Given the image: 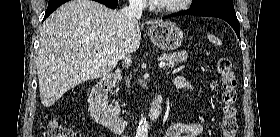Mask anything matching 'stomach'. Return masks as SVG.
I'll return each mask as SVG.
<instances>
[{
    "label": "stomach",
    "instance_id": "obj_1",
    "mask_svg": "<svg viewBox=\"0 0 280 137\" xmlns=\"http://www.w3.org/2000/svg\"><path fill=\"white\" fill-rule=\"evenodd\" d=\"M148 35L153 44L164 51H172L181 46L184 40L183 32L174 22H162L152 25Z\"/></svg>",
    "mask_w": 280,
    "mask_h": 137
}]
</instances>
